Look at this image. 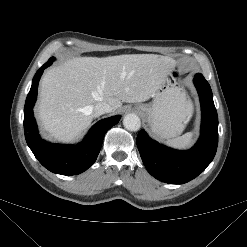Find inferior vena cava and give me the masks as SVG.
I'll list each match as a JSON object with an SVG mask.
<instances>
[{"label":"inferior vena cava","instance_id":"1","mask_svg":"<svg viewBox=\"0 0 247 247\" xmlns=\"http://www.w3.org/2000/svg\"><path fill=\"white\" fill-rule=\"evenodd\" d=\"M113 111V107L105 102H98L91 108V114L93 117H98L102 114Z\"/></svg>","mask_w":247,"mask_h":247}]
</instances>
